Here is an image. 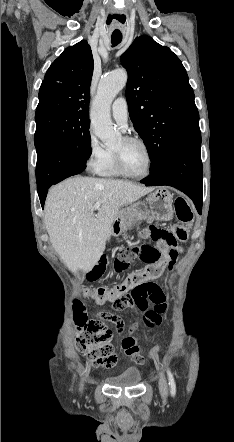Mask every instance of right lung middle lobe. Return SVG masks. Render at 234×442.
I'll return each mask as SVG.
<instances>
[{"label":"right lung middle lobe","mask_w":234,"mask_h":442,"mask_svg":"<svg viewBox=\"0 0 234 442\" xmlns=\"http://www.w3.org/2000/svg\"><path fill=\"white\" fill-rule=\"evenodd\" d=\"M36 149L46 145H63L84 158L91 154L88 112H53L35 117Z\"/></svg>","instance_id":"obj_1"}]
</instances>
